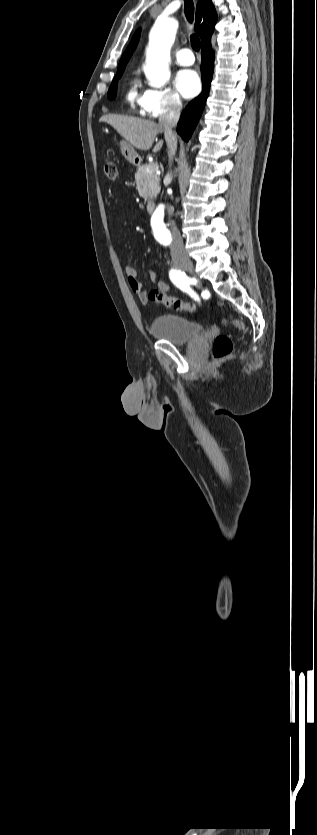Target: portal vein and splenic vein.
Segmentation results:
<instances>
[{"instance_id":"portal-vein-and-splenic-vein-1","label":"portal vein and splenic vein","mask_w":317,"mask_h":835,"mask_svg":"<svg viewBox=\"0 0 317 835\" xmlns=\"http://www.w3.org/2000/svg\"><path fill=\"white\" fill-rule=\"evenodd\" d=\"M159 169L158 164L152 163L146 170L147 172L154 171L157 172Z\"/></svg>"}]
</instances>
